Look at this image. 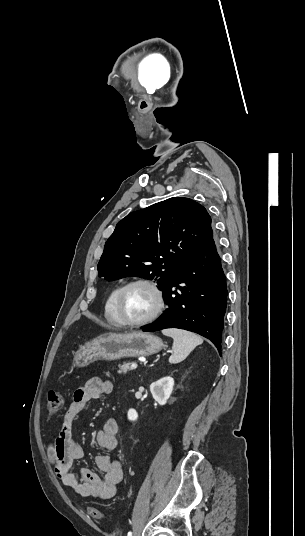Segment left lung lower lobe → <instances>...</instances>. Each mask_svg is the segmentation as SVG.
I'll list each match as a JSON object with an SVG mask.
<instances>
[{
  "label": "left lung lower lobe",
  "instance_id": "obj_1",
  "mask_svg": "<svg viewBox=\"0 0 305 536\" xmlns=\"http://www.w3.org/2000/svg\"><path fill=\"white\" fill-rule=\"evenodd\" d=\"M174 286L178 290L173 291ZM227 293L221 258L212 236L164 288L168 307L156 322L142 327L143 331L189 330L208 338L221 354Z\"/></svg>",
  "mask_w": 305,
  "mask_h": 536
}]
</instances>
